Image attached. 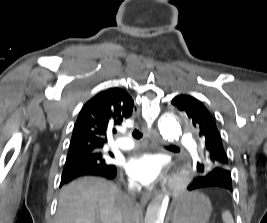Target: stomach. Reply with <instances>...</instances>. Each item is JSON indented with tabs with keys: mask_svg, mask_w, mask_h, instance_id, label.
<instances>
[{
	"mask_svg": "<svg viewBox=\"0 0 267 223\" xmlns=\"http://www.w3.org/2000/svg\"><path fill=\"white\" fill-rule=\"evenodd\" d=\"M212 213L209 198L200 192H189L178 197L172 223H208Z\"/></svg>",
	"mask_w": 267,
	"mask_h": 223,
	"instance_id": "0dacf381",
	"label": "stomach"
}]
</instances>
